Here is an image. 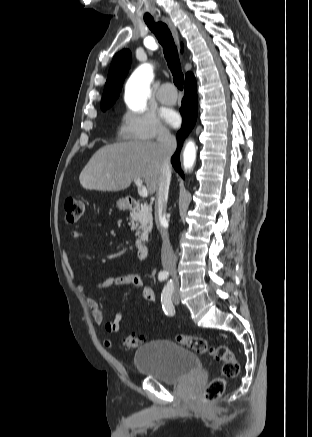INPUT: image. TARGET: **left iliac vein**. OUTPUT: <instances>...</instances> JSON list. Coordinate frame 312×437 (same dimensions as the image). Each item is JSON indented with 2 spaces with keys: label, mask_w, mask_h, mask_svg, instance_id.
Segmentation results:
<instances>
[{
  "label": "left iliac vein",
  "mask_w": 312,
  "mask_h": 437,
  "mask_svg": "<svg viewBox=\"0 0 312 437\" xmlns=\"http://www.w3.org/2000/svg\"><path fill=\"white\" fill-rule=\"evenodd\" d=\"M172 301H173L175 304H179V294H178V290H177V289H175V290L173 291V294H172Z\"/></svg>",
  "instance_id": "obj_1"
}]
</instances>
